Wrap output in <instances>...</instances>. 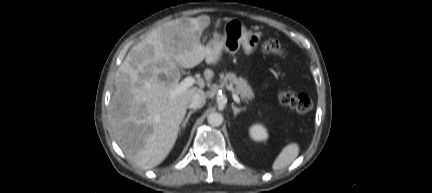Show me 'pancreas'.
Here are the masks:
<instances>
[{
    "label": "pancreas",
    "mask_w": 432,
    "mask_h": 193,
    "mask_svg": "<svg viewBox=\"0 0 432 193\" xmlns=\"http://www.w3.org/2000/svg\"><path fill=\"white\" fill-rule=\"evenodd\" d=\"M220 86L232 88L234 93L239 95L240 98L248 103L249 100L254 98V93L251 86L242 77H237L236 74L228 72L220 74Z\"/></svg>",
    "instance_id": "obj_1"
}]
</instances>
